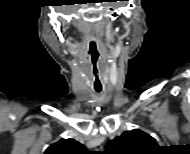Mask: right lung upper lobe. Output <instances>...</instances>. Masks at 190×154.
Masks as SVG:
<instances>
[{
  "label": "right lung upper lobe",
  "instance_id": "cb5924a9",
  "mask_svg": "<svg viewBox=\"0 0 190 154\" xmlns=\"http://www.w3.org/2000/svg\"><path fill=\"white\" fill-rule=\"evenodd\" d=\"M85 149L82 144L74 139H61L50 145L44 154H84Z\"/></svg>",
  "mask_w": 190,
  "mask_h": 154
}]
</instances>
